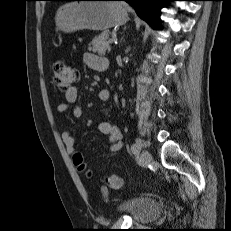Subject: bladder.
<instances>
[{"mask_svg":"<svg viewBox=\"0 0 231 231\" xmlns=\"http://www.w3.org/2000/svg\"><path fill=\"white\" fill-rule=\"evenodd\" d=\"M117 209L127 213L133 221L147 223L155 220L161 213L160 204L149 198H131L118 204Z\"/></svg>","mask_w":231,"mask_h":231,"instance_id":"obj_1","label":"bladder"}]
</instances>
